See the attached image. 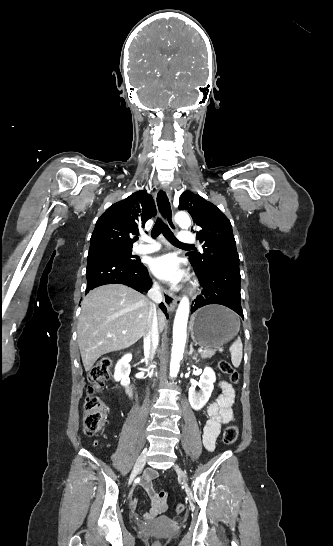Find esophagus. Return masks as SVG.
Wrapping results in <instances>:
<instances>
[{
    "label": "esophagus",
    "mask_w": 333,
    "mask_h": 546,
    "mask_svg": "<svg viewBox=\"0 0 333 546\" xmlns=\"http://www.w3.org/2000/svg\"><path fill=\"white\" fill-rule=\"evenodd\" d=\"M158 213L165 219L168 226L176 231L177 227L174 222V212L171 204V196L168 189L159 188L155 198ZM164 304L168 310L172 311L179 298L169 290H163Z\"/></svg>",
    "instance_id": "esophagus-1"
}]
</instances>
